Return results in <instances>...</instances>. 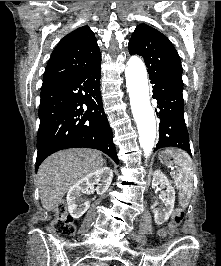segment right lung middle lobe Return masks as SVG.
Returning a JSON list of instances; mask_svg holds the SVG:
<instances>
[{
  "instance_id": "obj_1",
  "label": "right lung middle lobe",
  "mask_w": 221,
  "mask_h": 266,
  "mask_svg": "<svg viewBox=\"0 0 221 266\" xmlns=\"http://www.w3.org/2000/svg\"><path fill=\"white\" fill-rule=\"evenodd\" d=\"M48 88H50V87H42L41 92L47 90Z\"/></svg>"
}]
</instances>
